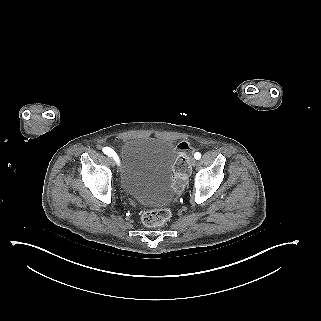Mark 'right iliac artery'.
Segmentation results:
<instances>
[{
	"label": "right iliac artery",
	"instance_id": "obj_1",
	"mask_svg": "<svg viewBox=\"0 0 321 321\" xmlns=\"http://www.w3.org/2000/svg\"><path fill=\"white\" fill-rule=\"evenodd\" d=\"M103 153L108 155V156H112L115 160L118 159L116 153L114 152V150H112L109 147H104L103 148Z\"/></svg>",
	"mask_w": 321,
	"mask_h": 321
}]
</instances>
